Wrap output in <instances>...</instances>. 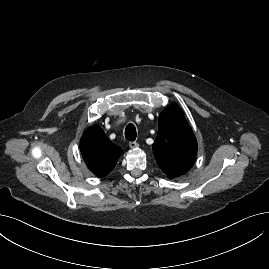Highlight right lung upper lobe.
Wrapping results in <instances>:
<instances>
[{"label": "right lung upper lobe", "mask_w": 269, "mask_h": 269, "mask_svg": "<svg viewBox=\"0 0 269 269\" xmlns=\"http://www.w3.org/2000/svg\"><path fill=\"white\" fill-rule=\"evenodd\" d=\"M80 150L87 167L98 177L108 175L123 153L98 126L90 127L84 132Z\"/></svg>", "instance_id": "1"}]
</instances>
